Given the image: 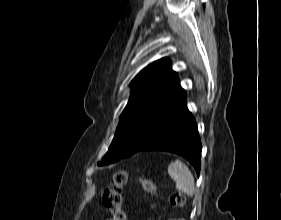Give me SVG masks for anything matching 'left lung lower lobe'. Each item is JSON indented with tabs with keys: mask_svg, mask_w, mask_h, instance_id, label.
<instances>
[{
	"mask_svg": "<svg viewBox=\"0 0 281 220\" xmlns=\"http://www.w3.org/2000/svg\"><path fill=\"white\" fill-rule=\"evenodd\" d=\"M201 150L197 123L187 108L184 93L163 118L151 140L139 151H166L178 154L187 159L199 175Z\"/></svg>",
	"mask_w": 281,
	"mask_h": 220,
	"instance_id": "1",
	"label": "left lung lower lobe"
}]
</instances>
